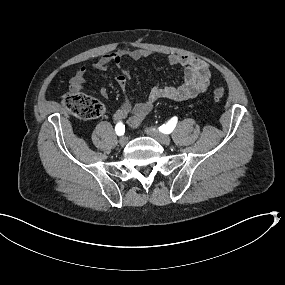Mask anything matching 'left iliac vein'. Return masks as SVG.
I'll list each match as a JSON object with an SVG mask.
<instances>
[{
  "label": "left iliac vein",
  "instance_id": "left-iliac-vein-1",
  "mask_svg": "<svg viewBox=\"0 0 285 285\" xmlns=\"http://www.w3.org/2000/svg\"><path fill=\"white\" fill-rule=\"evenodd\" d=\"M151 136L163 145H168L171 142V138L166 134L151 133Z\"/></svg>",
  "mask_w": 285,
  "mask_h": 285
}]
</instances>
